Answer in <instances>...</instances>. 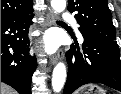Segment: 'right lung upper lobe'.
Returning a JSON list of instances; mask_svg holds the SVG:
<instances>
[{"instance_id":"cb5924a9","label":"right lung upper lobe","mask_w":121,"mask_h":94,"mask_svg":"<svg viewBox=\"0 0 121 94\" xmlns=\"http://www.w3.org/2000/svg\"><path fill=\"white\" fill-rule=\"evenodd\" d=\"M33 0H1V19L32 9Z\"/></svg>"}]
</instances>
